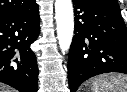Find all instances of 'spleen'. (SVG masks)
I'll list each match as a JSON object with an SVG mask.
<instances>
[{
  "label": "spleen",
  "instance_id": "obj_1",
  "mask_svg": "<svg viewBox=\"0 0 127 92\" xmlns=\"http://www.w3.org/2000/svg\"><path fill=\"white\" fill-rule=\"evenodd\" d=\"M92 92H127V75L104 74L91 83Z\"/></svg>",
  "mask_w": 127,
  "mask_h": 92
}]
</instances>
